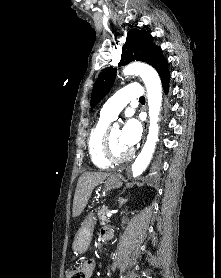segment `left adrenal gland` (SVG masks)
Instances as JSON below:
<instances>
[{"mask_svg":"<svg viewBox=\"0 0 221 278\" xmlns=\"http://www.w3.org/2000/svg\"><path fill=\"white\" fill-rule=\"evenodd\" d=\"M128 199H124L122 197H119L118 202H119V208L122 207L124 203H126Z\"/></svg>","mask_w":221,"mask_h":278,"instance_id":"1","label":"left adrenal gland"}]
</instances>
